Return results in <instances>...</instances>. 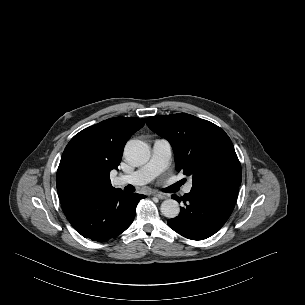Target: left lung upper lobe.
I'll return each instance as SVG.
<instances>
[{"label": "left lung upper lobe", "instance_id": "left-lung-upper-lobe-1", "mask_svg": "<svg viewBox=\"0 0 305 305\" xmlns=\"http://www.w3.org/2000/svg\"><path fill=\"white\" fill-rule=\"evenodd\" d=\"M147 125L170 142L176 170L192 176V188L241 185L234 146L217 125L186 113L148 117Z\"/></svg>", "mask_w": 305, "mask_h": 305}]
</instances>
